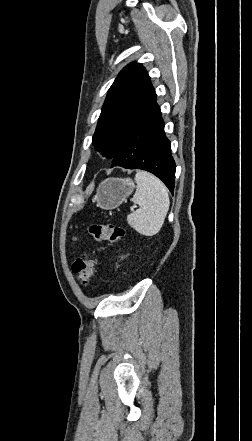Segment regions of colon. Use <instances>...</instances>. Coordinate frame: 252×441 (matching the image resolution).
Masks as SVG:
<instances>
[{
  "instance_id": "5ec220e1",
  "label": "colon",
  "mask_w": 252,
  "mask_h": 441,
  "mask_svg": "<svg viewBox=\"0 0 252 441\" xmlns=\"http://www.w3.org/2000/svg\"><path fill=\"white\" fill-rule=\"evenodd\" d=\"M89 233L96 241L117 242L125 235V230L117 225L95 223L89 226ZM97 259L92 254H83L72 265L73 273L79 282L86 286L91 283Z\"/></svg>"
}]
</instances>
